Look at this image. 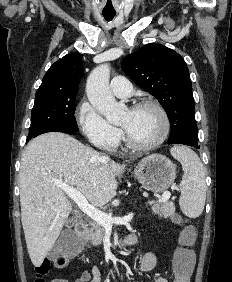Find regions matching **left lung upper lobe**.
I'll return each mask as SVG.
<instances>
[{"label": "left lung upper lobe", "instance_id": "1", "mask_svg": "<svg viewBox=\"0 0 232 282\" xmlns=\"http://www.w3.org/2000/svg\"><path fill=\"white\" fill-rule=\"evenodd\" d=\"M122 68L138 86L158 99L173 132L183 140H198L189 70L178 53L149 43L128 55Z\"/></svg>", "mask_w": 232, "mask_h": 282}]
</instances>
